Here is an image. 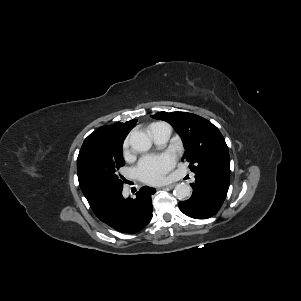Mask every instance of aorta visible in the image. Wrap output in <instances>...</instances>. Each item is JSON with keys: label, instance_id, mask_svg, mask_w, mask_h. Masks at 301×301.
<instances>
[{"label": "aorta", "instance_id": "762f6f07", "mask_svg": "<svg viewBox=\"0 0 301 301\" xmlns=\"http://www.w3.org/2000/svg\"><path fill=\"white\" fill-rule=\"evenodd\" d=\"M130 145L138 152H146L151 148L152 142L146 133L134 131L130 136ZM174 195L179 200L188 199L191 196V187L185 183H179L175 186Z\"/></svg>", "mask_w": 301, "mask_h": 301}]
</instances>
